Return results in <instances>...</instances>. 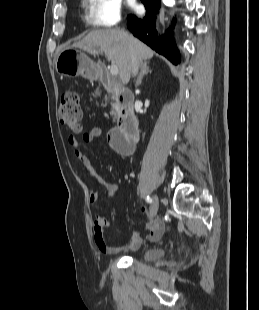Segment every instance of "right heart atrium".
Here are the masks:
<instances>
[{
  "mask_svg": "<svg viewBox=\"0 0 259 310\" xmlns=\"http://www.w3.org/2000/svg\"><path fill=\"white\" fill-rule=\"evenodd\" d=\"M86 19L96 27L117 25L122 16L120 0H84Z\"/></svg>",
  "mask_w": 259,
  "mask_h": 310,
  "instance_id": "obj_1",
  "label": "right heart atrium"
}]
</instances>
